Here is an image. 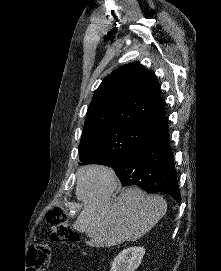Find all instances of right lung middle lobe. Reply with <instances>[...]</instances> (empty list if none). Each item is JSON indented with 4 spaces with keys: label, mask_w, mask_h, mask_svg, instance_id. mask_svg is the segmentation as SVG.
Returning <instances> with one entry per match:
<instances>
[{
    "label": "right lung middle lobe",
    "mask_w": 221,
    "mask_h": 271,
    "mask_svg": "<svg viewBox=\"0 0 221 271\" xmlns=\"http://www.w3.org/2000/svg\"><path fill=\"white\" fill-rule=\"evenodd\" d=\"M146 132L135 127L111 126L82 135L79 164L111 166L137 146Z\"/></svg>",
    "instance_id": "right-lung-middle-lobe-1"
}]
</instances>
